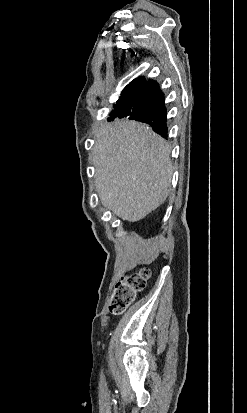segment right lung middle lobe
I'll list each match as a JSON object with an SVG mask.
<instances>
[{"instance_id":"right-lung-middle-lobe-1","label":"right lung middle lobe","mask_w":247,"mask_h":413,"mask_svg":"<svg viewBox=\"0 0 247 413\" xmlns=\"http://www.w3.org/2000/svg\"><path fill=\"white\" fill-rule=\"evenodd\" d=\"M135 96V87L130 83L128 86L124 88L121 93L120 99H134Z\"/></svg>"}]
</instances>
